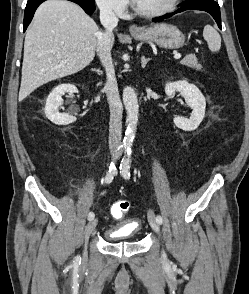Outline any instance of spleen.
Masks as SVG:
<instances>
[{"label": "spleen", "mask_w": 249, "mask_h": 294, "mask_svg": "<svg viewBox=\"0 0 249 294\" xmlns=\"http://www.w3.org/2000/svg\"><path fill=\"white\" fill-rule=\"evenodd\" d=\"M203 37L206 40L211 52H218L221 48V37L219 33L211 26L206 25L203 30Z\"/></svg>", "instance_id": "3e777b00"}]
</instances>
